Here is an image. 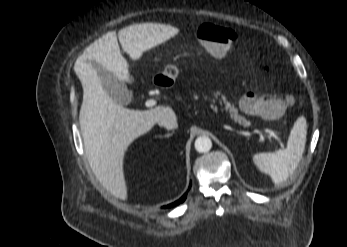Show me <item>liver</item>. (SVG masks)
<instances>
[{"instance_id":"6515ba94","label":"liver","mask_w":347,"mask_h":247,"mask_svg":"<svg viewBox=\"0 0 347 247\" xmlns=\"http://www.w3.org/2000/svg\"><path fill=\"white\" fill-rule=\"evenodd\" d=\"M177 29L165 24L143 23L121 29L118 39L122 49L137 60L142 53L171 38ZM92 62L119 80L130 82L128 63L121 55L115 31L89 45L74 64L84 94L79 121L84 150L94 174L115 197L127 198L123 160L128 146L149 132L159 116L174 111L168 106L150 110H130L116 103L103 89Z\"/></svg>"}]
</instances>
